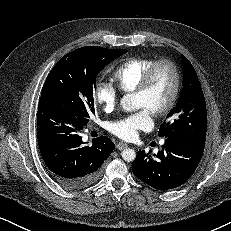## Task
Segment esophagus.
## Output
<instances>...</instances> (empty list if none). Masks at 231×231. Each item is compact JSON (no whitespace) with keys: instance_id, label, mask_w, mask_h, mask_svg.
I'll use <instances>...</instances> for the list:
<instances>
[{"instance_id":"1","label":"esophagus","mask_w":231,"mask_h":231,"mask_svg":"<svg viewBox=\"0 0 231 231\" xmlns=\"http://www.w3.org/2000/svg\"><path fill=\"white\" fill-rule=\"evenodd\" d=\"M127 147H128V145L126 143H123V142H119L116 145L117 150H123V149H125Z\"/></svg>"}]
</instances>
